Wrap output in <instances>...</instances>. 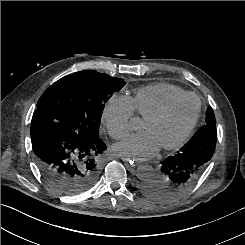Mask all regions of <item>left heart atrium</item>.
Returning <instances> with one entry per match:
<instances>
[{"instance_id":"1","label":"left heart atrium","mask_w":245,"mask_h":245,"mask_svg":"<svg viewBox=\"0 0 245 245\" xmlns=\"http://www.w3.org/2000/svg\"><path fill=\"white\" fill-rule=\"evenodd\" d=\"M159 148V144L148 131L127 136L123 141L114 146L117 154L136 160H145L152 157Z\"/></svg>"}]
</instances>
